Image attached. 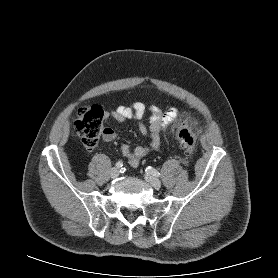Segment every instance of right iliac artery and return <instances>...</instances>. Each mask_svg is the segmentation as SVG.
<instances>
[{
	"instance_id": "obj_1",
	"label": "right iliac artery",
	"mask_w": 278,
	"mask_h": 278,
	"mask_svg": "<svg viewBox=\"0 0 278 278\" xmlns=\"http://www.w3.org/2000/svg\"><path fill=\"white\" fill-rule=\"evenodd\" d=\"M123 166V162L122 161H118L117 163H116V167L117 168H121Z\"/></svg>"
}]
</instances>
